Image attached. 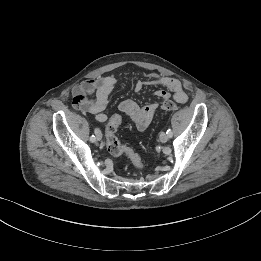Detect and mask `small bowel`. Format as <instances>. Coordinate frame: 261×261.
<instances>
[{"mask_svg": "<svg viewBox=\"0 0 261 261\" xmlns=\"http://www.w3.org/2000/svg\"><path fill=\"white\" fill-rule=\"evenodd\" d=\"M145 76L146 80H138L134 84L135 92L141 91L145 86H160L163 89L156 91L154 95L157 100H165L171 95L178 103H185L188 100V95L178 79L155 72L146 73ZM117 85L118 79L114 75L85 80L72 90L73 105L82 112L93 114L97 122L103 123L108 119L104 113L108 98ZM118 108L138 130L143 131L149 126L158 108V102L150 101L140 106L134 100L126 99L119 104Z\"/></svg>", "mask_w": 261, "mask_h": 261, "instance_id": "obj_1", "label": "small bowel"}]
</instances>
